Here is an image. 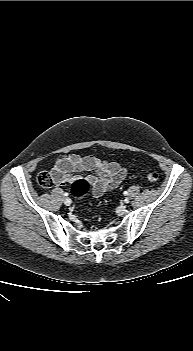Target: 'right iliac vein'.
<instances>
[{"instance_id": "right-iliac-vein-1", "label": "right iliac vein", "mask_w": 193, "mask_h": 351, "mask_svg": "<svg viewBox=\"0 0 193 351\" xmlns=\"http://www.w3.org/2000/svg\"><path fill=\"white\" fill-rule=\"evenodd\" d=\"M72 203L71 199L70 198H65L64 199V204L67 205V206H70Z\"/></svg>"}]
</instances>
